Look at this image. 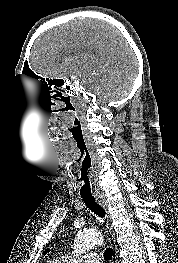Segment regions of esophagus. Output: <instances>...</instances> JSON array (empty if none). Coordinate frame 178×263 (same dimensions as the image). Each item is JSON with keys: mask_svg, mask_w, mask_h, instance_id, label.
<instances>
[{"mask_svg": "<svg viewBox=\"0 0 178 263\" xmlns=\"http://www.w3.org/2000/svg\"><path fill=\"white\" fill-rule=\"evenodd\" d=\"M96 201L104 209V211L106 213L107 226H108L109 232H110L109 244L115 251V253L113 254V257H112V263H117V251H116L117 246H116V242H115V233H114L113 226H112V218H111V215H110L109 210H108V203L102 195L97 196Z\"/></svg>", "mask_w": 178, "mask_h": 263, "instance_id": "1", "label": "esophagus"}]
</instances>
